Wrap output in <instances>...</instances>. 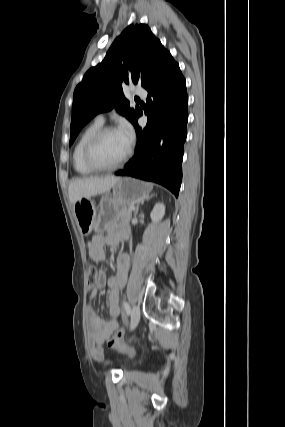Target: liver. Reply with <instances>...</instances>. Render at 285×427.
Here are the masks:
<instances>
[{"instance_id": "obj_1", "label": "liver", "mask_w": 285, "mask_h": 427, "mask_svg": "<svg viewBox=\"0 0 285 427\" xmlns=\"http://www.w3.org/2000/svg\"><path fill=\"white\" fill-rule=\"evenodd\" d=\"M119 177H86L72 180L69 184V200L74 205L82 198H91L109 191L119 180Z\"/></svg>"}]
</instances>
